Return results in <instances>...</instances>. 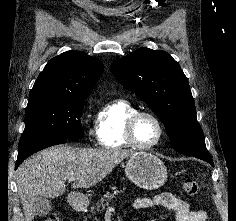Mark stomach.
Wrapping results in <instances>:
<instances>
[{
	"instance_id": "obj_1",
	"label": "stomach",
	"mask_w": 236,
	"mask_h": 221,
	"mask_svg": "<svg viewBox=\"0 0 236 221\" xmlns=\"http://www.w3.org/2000/svg\"><path fill=\"white\" fill-rule=\"evenodd\" d=\"M126 176L138 187L153 190L161 187L167 180L168 173L160 158L148 152H136L126 162ZM68 202L74 207H82L88 199L81 193H71Z\"/></svg>"
}]
</instances>
